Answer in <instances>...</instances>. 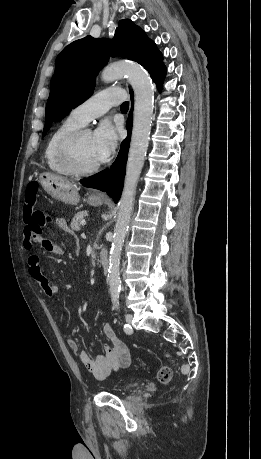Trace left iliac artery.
I'll return each instance as SVG.
<instances>
[{
	"mask_svg": "<svg viewBox=\"0 0 261 459\" xmlns=\"http://www.w3.org/2000/svg\"><path fill=\"white\" fill-rule=\"evenodd\" d=\"M114 303H115L116 308L119 309V302L115 300ZM123 329H124V332L127 334H131L133 331L132 327L127 323L124 324Z\"/></svg>",
	"mask_w": 261,
	"mask_h": 459,
	"instance_id": "44dca946",
	"label": "left iliac artery"
}]
</instances>
